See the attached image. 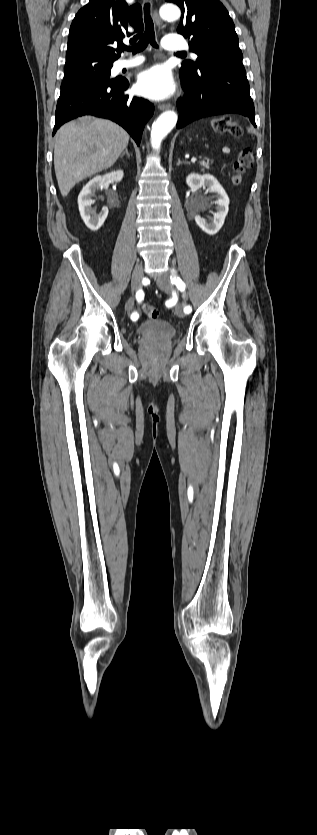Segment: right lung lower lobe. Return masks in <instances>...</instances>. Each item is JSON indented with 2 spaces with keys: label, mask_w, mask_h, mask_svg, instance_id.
Segmentation results:
<instances>
[{
  "label": "right lung lower lobe",
  "mask_w": 317,
  "mask_h": 835,
  "mask_svg": "<svg viewBox=\"0 0 317 835\" xmlns=\"http://www.w3.org/2000/svg\"><path fill=\"white\" fill-rule=\"evenodd\" d=\"M88 56L66 59V65L77 66ZM127 79H104L63 89L56 107L53 134L63 125L82 115L110 119L121 125L140 144L146 122L153 115L154 106L146 99L130 97Z\"/></svg>",
  "instance_id": "1"
}]
</instances>
